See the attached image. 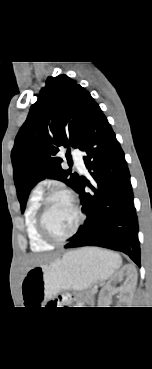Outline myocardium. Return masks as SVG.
Here are the masks:
<instances>
[{
  "instance_id": "1",
  "label": "myocardium",
  "mask_w": 152,
  "mask_h": 369,
  "mask_svg": "<svg viewBox=\"0 0 152 369\" xmlns=\"http://www.w3.org/2000/svg\"><path fill=\"white\" fill-rule=\"evenodd\" d=\"M56 196H65L67 197L76 212V223L75 226L73 227V229L71 230V232L63 237H57L55 235H53L51 233V231L49 230L48 226H47V222H46V215H47V209H48V204L50 202V200ZM84 221V215L81 211V208L78 204L77 199L75 198V196L67 191V190H53L48 192L46 195H44L41 198L40 201V205H39V209H38V213H37V227L39 230L40 235L42 236V238L50 243V244H61L65 241H67L68 239L72 238L79 230V228L81 227L82 223Z\"/></svg>"
}]
</instances>
